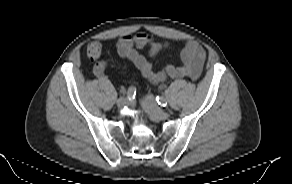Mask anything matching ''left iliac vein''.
Wrapping results in <instances>:
<instances>
[{"instance_id":"1","label":"left iliac vein","mask_w":292,"mask_h":184,"mask_svg":"<svg viewBox=\"0 0 292 184\" xmlns=\"http://www.w3.org/2000/svg\"><path fill=\"white\" fill-rule=\"evenodd\" d=\"M141 105L145 110L150 111L152 116H154L157 120H164L169 116V113L162 110L156 103L155 98L150 94L146 95L142 99Z\"/></svg>"}]
</instances>
